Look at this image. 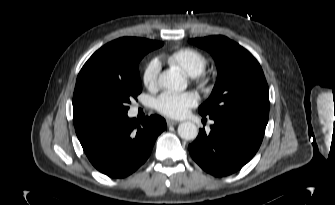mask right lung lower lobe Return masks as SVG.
Masks as SVG:
<instances>
[{"instance_id": "1", "label": "right lung lower lobe", "mask_w": 335, "mask_h": 205, "mask_svg": "<svg viewBox=\"0 0 335 205\" xmlns=\"http://www.w3.org/2000/svg\"><path fill=\"white\" fill-rule=\"evenodd\" d=\"M166 128L159 115L141 123L126 115L75 127L77 137L93 166L113 178L136 171L149 157L158 135Z\"/></svg>"}]
</instances>
